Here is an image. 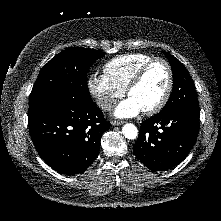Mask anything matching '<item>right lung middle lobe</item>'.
I'll list each match as a JSON object with an SVG mask.
<instances>
[{
	"instance_id": "right-lung-middle-lobe-1",
	"label": "right lung middle lobe",
	"mask_w": 221,
	"mask_h": 221,
	"mask_svg": "<svg viewBox=\"0 0 221 221\" xmlns=\"http://www.w3.org/2000/svg\"><path fill=\"white\" fill-rule=\"evenodd\" d=\"M105 53L82 47H70L53 57L41 70L29 97L28 116L51 99L72 94L90 97L87 73Z\"/></svg>"
}]
</instances>
